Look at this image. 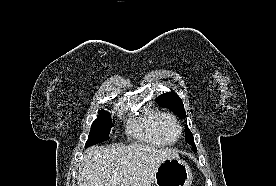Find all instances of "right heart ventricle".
I'll return each mask as SVG.
<instances>
[{
    "label": "right heart ventricle",
    "instance_id": "e07e8e85",
    "mask_svg": "<svg viewBox=\"0 0 276 186\" xmlns=\"http://www.w3.org/2000/svg\"><path fill=\"white\" fill-rule=\"evenodd\" d=\"M162 112L157 110L146 111L141 117L132 121L128 126V133L135 139L153 146L168 145L159 134L158 121Z\"/></svg>",
    "mask_w": 276,
    "mask_h": 186
}]
</instances>
